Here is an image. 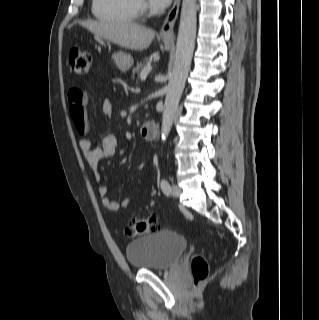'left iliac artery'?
<instances>
[{"label": "left iliac artery", "instance_id": "obj_1", "mask_svg": "<svg viewBox=\"0 0 319 320\" xmlns=\"http://www.w3.org/2000/svg\"><path fill=\"white\" fill-rule=\"evenodd\" d=\"M161 189L164 192L165 195L170 196L171 195V187L167 180L163 179L161 181Z\"/></svg>", "mask_w": 319, "mask_h": 320}]
</instances>
